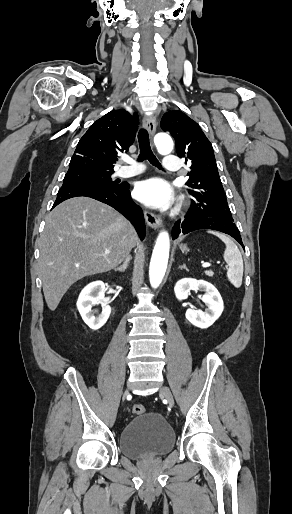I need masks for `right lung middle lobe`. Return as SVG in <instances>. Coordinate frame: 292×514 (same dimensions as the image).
<instances>
[{"label": "right lung middle lobe", "mask_w": 292, "mask_h": 514, "mask_svg": "<svg viewBox=\"0 0 292 514\" xmlns=\"http://www.w3.org/2000/svg\"><path fill=\"white\" fill-rule=\"evenodd\" d=\"M114 171L109 172H67L63 184L65 183H88L105 187H118L123 183H118L111 179Z\"/></svg>", "instance_id": "obj_1"}]
</instances>
